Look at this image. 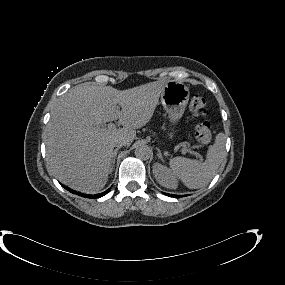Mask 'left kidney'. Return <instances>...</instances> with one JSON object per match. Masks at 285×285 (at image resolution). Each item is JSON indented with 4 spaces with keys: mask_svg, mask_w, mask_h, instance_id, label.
Returning <instances> with one entry per match:
<instances>
[{
    "mask_svg": "<svg viewBox=\"0 0 285 285\" xmlns=\"http://www.w3.org/2000/svg\"><path fill=\"white\" fill-rule=\"evenodd\" d=\"M153 174L156 181L163 187L169 189H176L178 187L177 179L165 165L155 163L153 165Z\"/></svg>",
    "mask_w": 285,
    "mask_h": 285,
    "instance_id": "obj_1",
    "label": "left kidney"
}]
</instances>
